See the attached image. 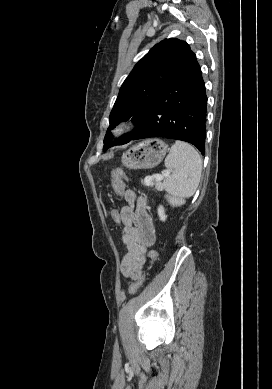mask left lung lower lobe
Instances as JSON below:
<instances>
[{"instance_id": "0a47b994", "label": "left lung lower lobe", "mask_w": 272, "mask_h": 389, "mask_svg": "<svg viewBox=\"0 0 272 389\" xmlns=\"http://www.w3.org/2000/svg\"><path fill=\"white\" fill-rule=\"evenodd\" d=\"M206 109L205 83L195 57L158 94L128 142L150 137L182 140L204 155Z\"/></svg>"}]
</instances>
